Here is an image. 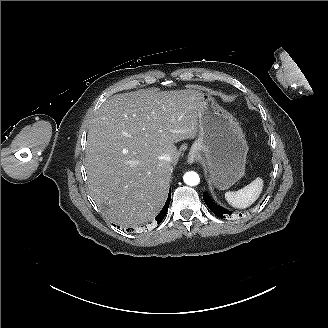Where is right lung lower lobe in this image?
<instances>
[{
    "label": "right lung lower lobe",
    "mask_w": 328,
    "mask_h": 328,
    "mask_svg": "<svg viewBox=\"0 0 328 328\" xmlns=\"http://www.w3.org/2000/svg\"><path fill=\"white\" fill-rule=\"evenodd\" d=\"M170 199H171V191L168 195V199L163 207V209L161 210V212L155 217V221L156 223L159 225L161 223V221L163 220V218L165 217L167 211H168V207H169V203H170Z\"/></svg>",
    "instance_id": "1"
}]
</instances>
